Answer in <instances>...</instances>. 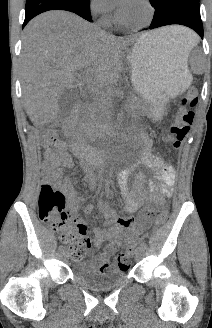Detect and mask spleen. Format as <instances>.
<instances>
[{
	"label": "spleen",
	"instance_id": "spleen-1",
	"mask_svg": "<svg viewBox=\"0 0 212 328\" xmlns=\"http://www.w3.org/2000/svg\"><path fill=\"white\" fill-rule=\"evenodd\" d=\"M186 29V28H185ZM198 37L191 30L187 29V34L184 39V46L182 47L185 58H188L190 51L197 45Z\"/></svg>",
	"mask_w": 212,
	"mask_h": 328
}]
</instances>
